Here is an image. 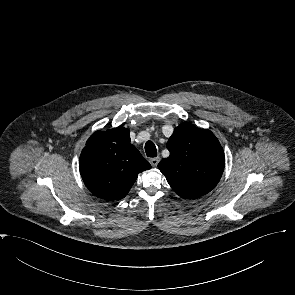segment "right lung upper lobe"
Returning <instances> with one entry per match:
<instances>
[{
  "label": "right lung upper lobe",
  "mask_w": 295,
  "mask_h": 295,
  "mask_svg": "<svg viewBox=\"0 0 295 295\" xmlns=\"http://www.w3.org/2000/svg\"><path fill=\"white\" fill-rule=\"evenodd\" d=\"M79 166L90 192L111 201L124 198L137 175L151 168L130 143V131L124 127L91 135L81 152Z\"/></svg>",
  "instance_id": "cb5924a9"
}]
</instances>
